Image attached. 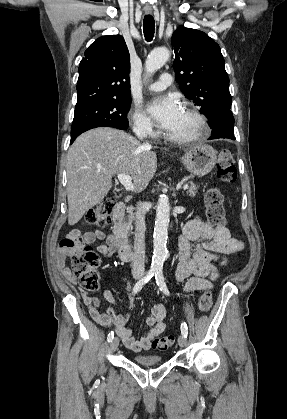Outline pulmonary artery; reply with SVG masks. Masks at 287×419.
I'll list each match as a JSON object with an SVG mask.
<instances>
[{
	"label": "pulmonary artery",
	"mask_w": 287,
	"mask_h": 419,
	"mask_svg": "<svg viewBox=\"0 0 287 419\" xmlns=\"http://www.w3.org/2000/svg\"><path fill=\"white\" fill-rule=\"evenodd\" d=\"M173 82L172 75L170 73H163L159 81L151 83L149 85V90L151 91H162L170 86Z\"/></svg>",
	"instance_id": "obj_1"
}]
</instances>
